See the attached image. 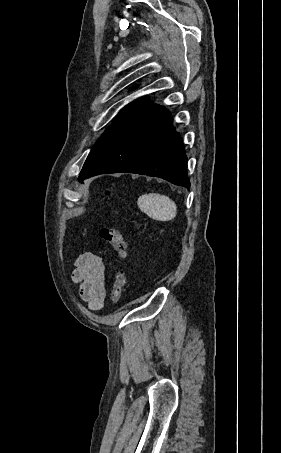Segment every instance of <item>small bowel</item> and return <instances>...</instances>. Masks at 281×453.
<instances>
[{
    "mask_svg": "<svg viewBox=\"0 0 281 453\" xmlns=\"http://www.w3.org/2000/svg\"><path fill=\"white\" fill-rule=\"evenodd\" d=\"M105 264L101 256L83 253L75 262L73 280L79 284L81 299L93 312L100 311L106 299Z\"/></svg>",
    "mask_w": 281,
    "mask_h": 453,
    "instance_id": "1",
    "label": "small bowel"
}]
</instances>
